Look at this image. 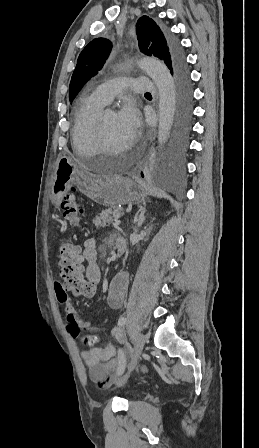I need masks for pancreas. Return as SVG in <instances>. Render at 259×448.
Segmentation results:
<instances>
[{"instance_id":"obj_1","label":"pancreas","mask_w":259,"mask_h":448,"mask_svg":"<svg viewBox=\"0 0 259 448\" xmlns=\"http://www.w3.org/2000/svg\"><path fill=\"white\" fill-rule=\"evenodd\" d=\"M121 216H124L122 208H109V210H102L101 214L94 218L93 224H95L96 228H99V226L105 228L109 222H115Z\"/></svg>"}]
</instances>
